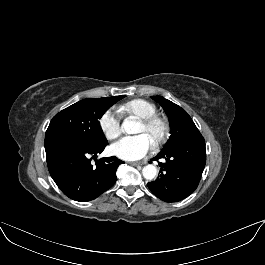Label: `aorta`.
<instances>
[{
	"instance_id": "762f6f07",
	"label": "aorta",
	"mask_w": 265,
	"mask_h": 265,
	"mask_svg": "<svg viewBox=\"0 0 265 265\" xmlns=\"http://www.w3.org/2000/svg\"><path fill=\"white\" fill-rule=\"evenodd\" d=\"M122 130L127 134H136L139 124L133 118H126L122 123ZM142 175L147 180H153L157 175V168L154 165H146L142 169Z\"/></svg>"
}]
</instances>
